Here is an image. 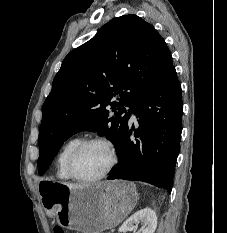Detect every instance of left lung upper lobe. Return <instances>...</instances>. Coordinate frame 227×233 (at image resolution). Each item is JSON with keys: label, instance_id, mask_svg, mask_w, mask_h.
Segmentation results:
<instances>
[{"label": "left lung upper lobe", "instance_id": "5c2ea615", "mask_svg": "<svg viewBox=\"0 0 227 233\" xmlns=\"http://www.w3.org/2000/svg\"><path fill=\"white\" fill-rule=\"evenodd\" d=\"M172 67L171 53L151 24L134 14L106 23L65 57L53 80L42 109L39 174L79 131H98L117 149L128 126L130 109L124 106L153 91Z\"/></svg>", "mask_w": 227, "mask_h": 233}]
</instances>
